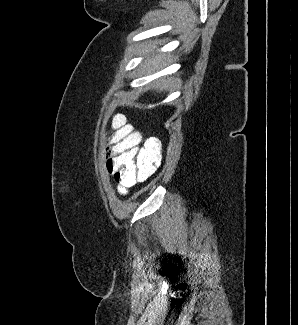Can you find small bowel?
I'll return each mask as SVG.
<instances>
[{"label":"small bowel","mask_w":298,"mask_h":325,"mask_svg":"<svg viewBox=\"0 0 298 325\" xmlns=\"http://www.w3.org/2000/svg\"><path fill=\"white\" fill-rule=\"evenodd\" d=\"M116 189L118 191L119 194L121 195H125L128 192V187L127 186H123L117 183Z\"/></svg>","instance_id":"small-bowel-1"}]
</instances>
